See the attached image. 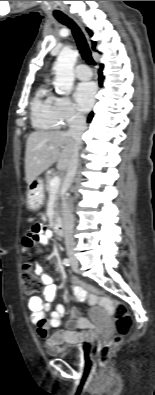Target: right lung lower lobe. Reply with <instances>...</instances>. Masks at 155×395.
I'll return each instance as SVG.
<instances>
[{
	"label": "right lung lower lobe",
	"instance_id": "right-lung-lower-lobe-1",
	"mask_svg": "<svg viewBox=\"0 0 155 395\" xmlns=\"http://www.w3.org/2000/svg\"><path fill=\"white\" fill-rule=\"evenodd\" d=\"M102 69H103V65H101V68L99 70V85L102 86V81L104 79V77L102 76ZM93 118V112H91L88 116L87 121L90 122Z\"/></svg>",
	"mask_w": 155,
	"mask_h": 395
}]
</instances>
